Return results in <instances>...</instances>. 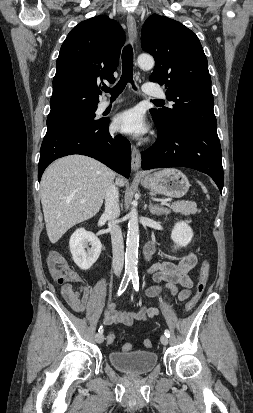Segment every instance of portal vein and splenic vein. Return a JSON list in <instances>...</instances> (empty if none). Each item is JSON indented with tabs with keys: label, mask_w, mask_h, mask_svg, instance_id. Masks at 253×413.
Instances as JSON below:
<instances>
[{
	"label": "portal vein and splenic vein",
	"mask_w": 253,
	"mask_h": 413,
	"mask_svg": "<svg viewBox=\"0 0 253 413\" xmlns=\"http://www.w3.org/2000/svg\"><path fill=\"white\" fill-rule=\"evenodd\" d=\"M170 201H171V199H166V200H162L161 202H162V204H166L167 202H170ZM82 203H84V201Z\"/></svg>",
	"instance_id": "1"
}]
</instances>
